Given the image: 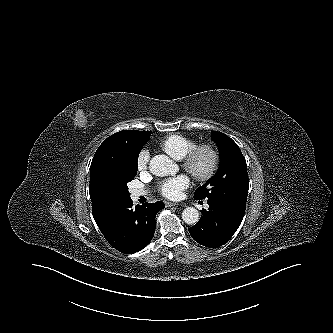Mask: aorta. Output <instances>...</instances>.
<instances>
[{
	"mask_svg": "<svg viewBox=\"0 0 333 333\" xmlns=\"http://www.w3.org/2000/svg\"><path fill=\"white\" fill-rule=\"evenodd\" d=\"M178 169V165L166 155H156L149 163L150 172L159 177L176 174ZM182 219L186 224L194 225L199 220V212L194 207H187L182 212Z\"/></svg>",
	"mask_w": 333,
	"mask_h": 333,
	"instance_id": "1",
	"label": "aorta"
}]
</instances>
